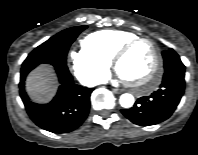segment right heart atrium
<instances>
[{"label":"right heart atrium","instance_id":"d8ad5b80","mask_svg":"<svg viewBox=\"0 0 198 155\" xmlns=\"http://www.w3.org/2000/svg\"><path fill=\"white\" fill-rule=\"evenodd\" d=\"M68 57L75 76L82 83L96 85L106 78L110 62L85 46L72 48Z\"/></svg>","mask_w":198,"mask_h":155}]
</instances>
